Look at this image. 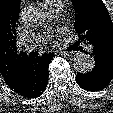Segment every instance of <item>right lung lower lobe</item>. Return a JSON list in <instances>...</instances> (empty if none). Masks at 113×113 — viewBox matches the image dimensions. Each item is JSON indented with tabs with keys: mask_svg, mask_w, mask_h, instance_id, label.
I'll list each match as a JSON object with an SVG mask.
<instances>
[{
	"mask_svg": "<svg viewBox=\"0 0 113 113\" xmlns=\"http://www.w3.org/2000/svg\"><path fill=\"white\" fill-rule=\"evenodd\" d=\"M53 57V53L43 54L36 58L28 57L17 76L7 85L25 98H36L41 95L48 84V66Z\"/></svg>",
	"mask_w": 113,
	"mask_h": 113,
	"instance_id": "98d812e1",
	"label": "right lung lower lobe"
}]
</instances>
